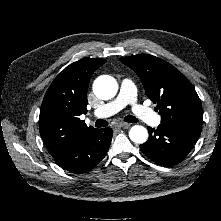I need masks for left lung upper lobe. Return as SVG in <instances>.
I'll list each match as a JSON object with an SVG mask.
<instances>
[{
  "instance_id": "left-lung-upper-lobe-1",
  "label": "left lung upper lobe",
  "mask_w": 221,
  "mask_h": 221,
  "mask_svg": "<svg viewBox=\"0 0 221 221\" xmlns=\"http://www.w3.org/2000/svg\"><path fill=\"white\" fill-rule=\"evenodd\" d=\"M143 83L147 96L157 104L161 124L201 128L203 111L190 81L168 62L148 54L120 58Z\"/></svg>"
}]
</instances>
